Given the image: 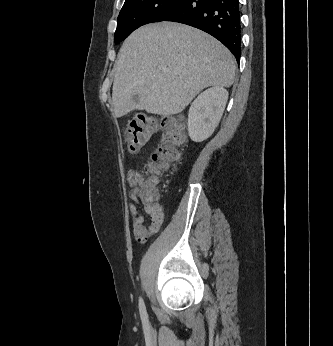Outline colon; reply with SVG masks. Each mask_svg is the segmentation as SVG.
<instances>
[{"label": "colon", "mask_w": 333, "mask_h": 346, "mask_svg": "<svg viewBox=\"0 0 333 346\" xmlns=\"http://www.w3.org/2000/svg\"><path fill=\"white\" fill-rule=\"evenodd\" d=\"M159 121L152 116L138 114L127 126L125 139L128 149L137 152L143 149L152 135L157 131ZM161 142L146 164L148 176L142 178L140 192L143 197L156 200L158 189L157 176L171 171L181 157V146L185 136L177 117H169L162 121Z\"/></svg>", "instance_id": "obj_1"}]
</instances>
